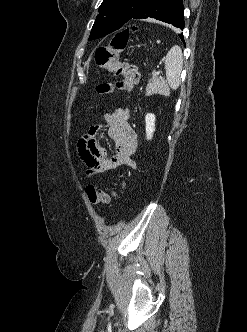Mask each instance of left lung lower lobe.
<instances>
[{
	"instance_id": "obj_1",
	"label": "left lung lower lobe",
	"mask_w": 247,
	"mask_h": 332,
	"mask_svg": "<svg viewBox=\"0 0 247 332\" xmlns=\"http://www.w3.org/2000/svg\"><path fill=\"white\" fill-rule=\"evenodd\" d=\"M154 18L183 30L184 7L182 0H147L133 15L132 20ZM179 37L184 42L183 35Z\"/></svg>"
}]
</instances>
